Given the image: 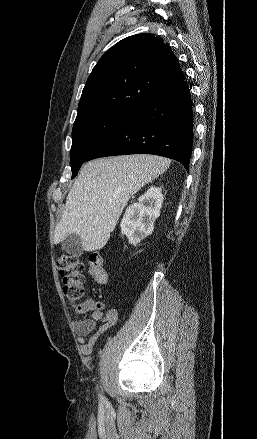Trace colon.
Listing matches in <instances>:
<instances>
[{"label":"colon","instance_id":"colon-1","mask_svg":"<svg viewBox=\"0 0 257 439\" xmlns=\"http://www.w3.org/2000/svg\"><path fill=\"white\" fill-rule=\"evenodd\" d=\"M90 273L94 279L104 284L107 273L103 266V258L99 253H92L89 257ZM57 268L62 277V290L67 301L75 305L80 302L85 294L84 265L75 256L60 252L57 256Z\"/></svg>","mask_w":257,"mask_h":439}]
</instances>
